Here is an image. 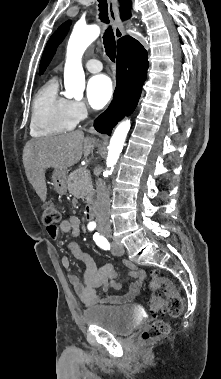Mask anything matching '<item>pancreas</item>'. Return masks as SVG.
<instances>
[{"label": "pancreas", "mask_w": 221, "mask_h": 379, "mask_svg": "<svg viewBox=\"0 0 221 379\" xmlns=\"http://www.w3.org/2000/svg\"><path fill=\"white\" fill-rule=\"evenodd\" d=\"M67 185L69 192L77 198L85 199L87 202L92 200L94 189L86 169L78 168L73 171L67 179Z\"/></svg>", "instance_id": "pancreas-1"}]
</instances>
